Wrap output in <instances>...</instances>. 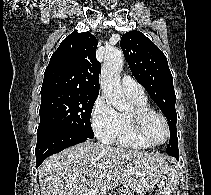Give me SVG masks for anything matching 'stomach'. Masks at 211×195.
Listing matches in <instances>:
<instances>
[{
  "label": "stomach",
  "instance_id": "stomach-1",
  "mask_svg": "<svg viewBox=\"0 0 211 195\" xmlns=\"http://www.w3.org/2000/svg\"><path fill=\"white\" fill-rule=\"evenodd\" d=\"M170 167L171 168L159 178V181L157 183V185L159 186V193L157 195H174L175 185L177 183V175L172 166ZM140 195H145V193L140 192Z\"/></svg>",
  "mask_w": 211,
  "mask_h": 195
}]
</instances>
